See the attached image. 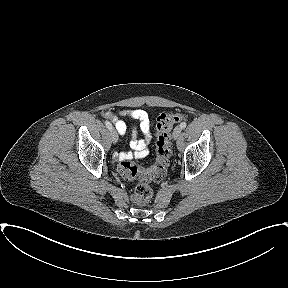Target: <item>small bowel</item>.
<instances>
[{
  "mask_svg": "<svg viewBox=\"0 0 288 288\" xmlns=\"http://www.w3.org/2000/svg\"><path fill=\"white\" fill-rule=\"evenodd\" d=\"M121 116L131 118L139 121L138 126H134L131 131L130 147L132 151L121 152L117 154L118 160L132 159V158H144L148 155V143L151 139V127L152 121L150 120L146 111L137 108H129L120 111ZM105 117L114 124L118 134L124 136L127 132L126 123L121 120L117 115L106 112ZM142 132L144 139L138 138V132Z\"/></svg>",
  "mask_w": 288,
  "mask_h": 288,
  "instance_id": "c3829d8e",
  "label": "small bowel"
}]
</instances>
